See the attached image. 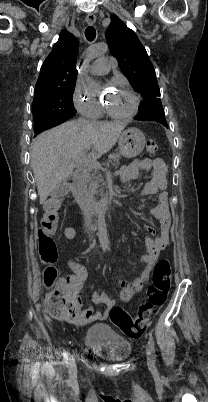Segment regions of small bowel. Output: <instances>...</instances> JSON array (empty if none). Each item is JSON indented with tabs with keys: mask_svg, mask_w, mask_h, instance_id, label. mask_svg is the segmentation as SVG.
<instances>
[{
	"mask_svg": "<svg viewBox=\"0 0 208 402\" xmlns=\"http://www.w3.org/2000/svg\"><path fill=\"white\" fill-rule=\"evenodd\" d=\"M150 171L152 174L151 179L146 183L142 189V196H150L159 192L158 203L150 208V213L160 222V235L155 239H148L146 241L147 253L140 258V262L144 264L140 276L133 281H120L122 301L130 299L133 293L138 291L141 286L149 279V272L158 256L160 251L165 249L170 244V227L171 218L169 213V202L167 194V165L162 158H143L135 160L129 165L122 167L120 171V178L123 183L136 181L140 176V171ZM150 232L153 228L147 226ZM66 236L72 238L74 231L71 228L66 230ZM71 274L63 280H72L73 296H69L74 301L78 300L77 291L82 287L86 279V271L84 267L77 262L71 261L69 263ZM93 300L97 304H102L106 310L103 312L92 313L90 317H84L79 320L76 315H64L60 327L62 330H80L84 321L93 319L95 324H104L106 321L107 311L111 308L115 301L105 294L96 293ZM61 321V318H58Z\"/></svg>",
	"mask_w": 208,
	"mask_h": 402,
	"instance_id": "obj_1",
	"label": "small bowel"
}]
</instances>
